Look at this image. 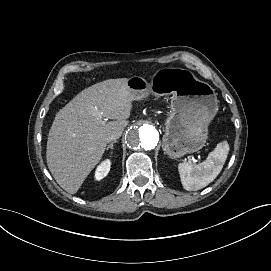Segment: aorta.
Masks as SVG:
<instances>
[{
  "label": "aorta",
  "mask_w": 271,
  "mask_h": 271,
  "mask_svg": "<svg viewBox=\"0 0 271 271\" xmlns=\"http://www.w3.org/2000/svg\"><path fill=\"white\" fill-rule=\"evenodd\" d=\"M127 146L137 151H149L154 149L159 142V133L155 126L146 120H138L133 123L126 132Z\"/></svg>",
  "instance_id": "1"
}]
</instances>
